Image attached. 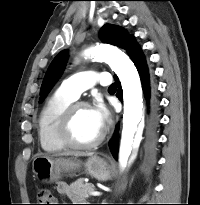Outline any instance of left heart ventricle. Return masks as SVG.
I'll list each match as a JSON object with an SVG mask.
<instances>
[{"label": "left heart ventricle", "mask_w": 200, "mask_h": 205, "mask_svg": "<svg viewBox=\"0 0 200 205\" xmlns=\"http://www.w3.org/2000/svg\"><path fill=\"white\" fill-rule=\"evenodd\" d=\"M102 128L95 120L90 108H79L72 123V136L81 143L91 142L101 133Z\"/></svg>", "instance_id": "left-heart-ventricle-1"}]
</instances>
